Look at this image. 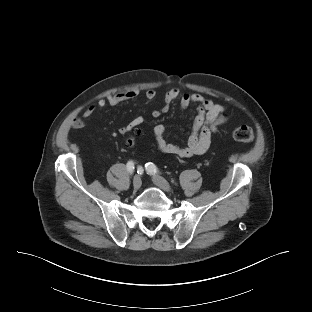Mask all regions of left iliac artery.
Listing matches in <instances>:
<instances>
[{
  "label": "left iliac artery",
  "mask_w": 312,
  "mask_h": 312,
  "mask_svg": "<svg viewBox=\"0 0 312 312\" xmlns=\"http://www.w3.org/2000/svg\"><path fill=\"white\" fill-rule=\"evenodd\" d=\"M145 167L147 172L150 174H156L159 172L158 168L153 163H147Z\"/></svg>",
  "instance_id": "obj_1"
}]
</instances>
